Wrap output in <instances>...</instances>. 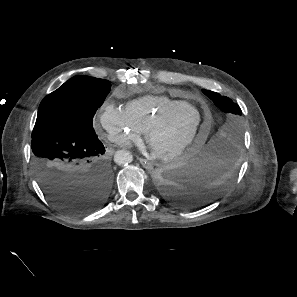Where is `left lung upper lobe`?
Instances as JSON below:
<instances>
[{"instance_id": "left-lung-upper-lobe-1", "label": "left lung upper lobe", "mask_w": 297, "mask_h": 297, "mask_svg": "<svg viewBox=\"0 0 297 297\" xmlns=\"http://www.w3.org/2000/svg\"><path fill=\"white\" fill-rule=\"evenodd\" d=\"M202 92L223 112L222 120L211 140L217 141L228 149H237L242 138L240 118L242 111L240 107L230 98L221 96L216 92L208 90H202Z\"/></svg>"}]
</instances>
